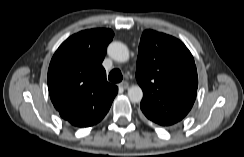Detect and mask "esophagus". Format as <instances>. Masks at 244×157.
<instances>
[{"label": "esophagus", "mask_w": 244, "mask_h": 157, "mask_svg": "<svg viewBox=\"0 0 244 157\" xmlns=\"http://www.w3.org/2000/svg\"><path fill=\"white\" fill-rule=\"evenodd\" d=\"M119 87H121L122 89H127L129 87V83L126 81H123L119 84Z\"/></svg>", "instance_id": "1"}]
</instances>
